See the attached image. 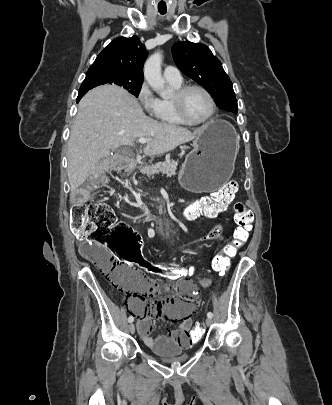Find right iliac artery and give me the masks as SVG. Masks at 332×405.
<instances>
[{"label": "right iliac artery", "mask_w": 332, "mask_h": 405, "mask_svg": "<svg viewBox=\"0 0 332 405\" xmlns=\"http://www.w3.org/2000/svg\"><path fill=\"white\" fill-rule=\"evenodd\" d=\"M133 321H134V317H133V316H129L128 322H129V323H132Z\"/></svg>", "instance_id": "obj_1"}]
</instances>
